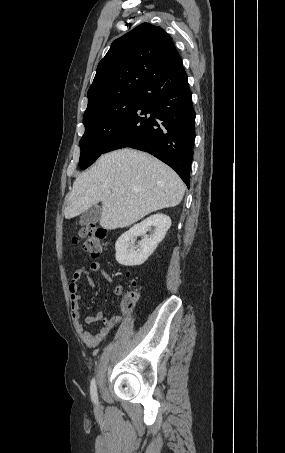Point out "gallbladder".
Instances as JSON below:
<instances>
[{"label":"gallbladder","mask_w":285,"mask_h":453,"mask_svg":"<svg viewBox=\"0 0 285 453\" xmlns=\"http://www.w3.org/2000/svg\"><path fill=\"white\" fill-rule=\"evenodd\" d=\"M100 217L101 207L98 205H94L81 215L79 224L81 226L89 225L91 223L95 224L100 220Z\"/></svg>","instance_id":"gallbladder-1"}]
</instances>
